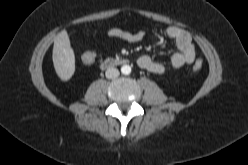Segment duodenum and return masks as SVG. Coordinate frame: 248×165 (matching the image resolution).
<instances>
[{
	"instance_id": "410a0bca",
	"label": "duodenum",
	"mask_w": 248,
	"mask_h": 165,
	"mask_svg": "<svg viewBox=\"0 0 248 165\" xmlns=\"http://www.w3.org/2000/svg\"><path fill=\"white\" fill-rule=\"evenodd\" d=\"M125 63H127L126 59L107 58L102 62L101 67L103 69H108Z\"/></svg>"
}]
</instances>
